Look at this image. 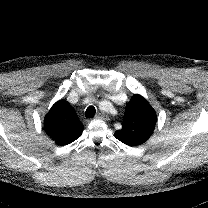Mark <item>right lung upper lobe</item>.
I'll use <instances>...</instances> for the list:
<instances>
[{"label": "right lung upper lobe", "mask_w": 208, "mask_h": 208, "mask_svg": "<svg viewBox=\"0 0 208 208\" xmlns=\"http://www.w3.org/2000/svg\"><path fill=\"white\" fill-rule=\"evenodd\" d=\"M75 110L67 101H57L44 119V130L57 145H67L78 139L83 132Z\"/></svg>", "instance_id": "cb5924a9"}]
</instances>
